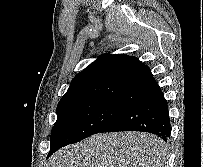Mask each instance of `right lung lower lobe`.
I'll list each match as a JSON object with an SVG mask.
<instances>
[{"label":"right lung lower lobe","mask_w":203,"mask_h":167,"mask_svg":"<svg viewBox=\"0 0 203 167\" xmlns=\"http://www.w3.org/2000/svg\"><path fill=\"white\" fill-rule=\"evenodd\" d=\"M118 131L149 132L167 142L171 135V123L167 101L161 90L136 100L101 132ZM63 146L60 142H51L48 156Z\"/></svg>","instance_id":"1"}]
</instances>
